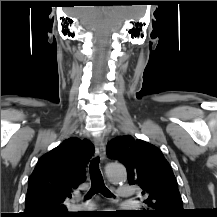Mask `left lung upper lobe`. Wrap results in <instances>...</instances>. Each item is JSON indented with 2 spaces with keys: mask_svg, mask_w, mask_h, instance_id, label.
I'll use <instances>...</instances> for the list:
<instances>
[{
  "mask_svg": "<svg viewBox=\"0 0 217 217\" xmlns=\"http://www.w3.org/2000/svg\"><path fill=\"white\" fill-rule=\"evenodd\" d=\"M107 154L126 166L130 185H139L146 196L143 217H180L183 202L176 178L160 149L130 135L107 144Z\"/></svg>",
  "mask_w": 217,
  "mask_h": 217,
  "instance_id": "1",
  "label": "left lung upper lobe"
}]
</instances>
